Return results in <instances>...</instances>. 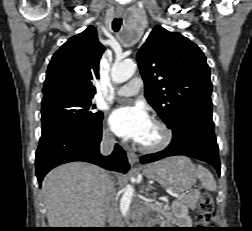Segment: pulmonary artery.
Masks as SVG:
<instances>
[{
    "label": "pulmonary artery",
    "instance_id": "1",
    "mask_svg": "<svg viewBox=\"0 0 252 231\" xmlns=\"http://www.w3.org/2000/svg\"><path fill=\"white\" fill-rule=\"evenodd\" d=\"M142 80L140 78H132L128 81L125 85L120 87L116 91L117 96H133L136 95L141 87H142Z\"/></svg>",
    "mask_w": 252,
    "mask_h": 231
}]
</instances>
